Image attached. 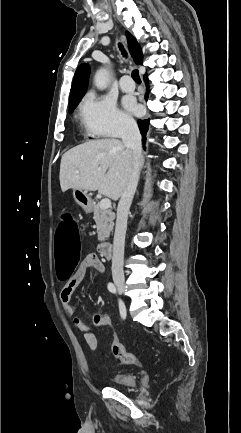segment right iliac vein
Wrapping results in <instances>:
<instances>
[{
    "mask_svg": "<svg viewBox=\"0 0 241 433\" xmlns=\"http://www.w3.org/2000/svg\"><path fill=\"white\" fill-rule=\"evenodd\" d=\"M116 286H117V288L121 291V292H124L125 291V284H124V282L123 281H117L116 282Z\"/></svg>",
    "mask_w": 241,
    "mask_h": 433,
    "instance_id": "right-iliac-vein-1",
    "label": "right iliac vein"
}]
</instances>
